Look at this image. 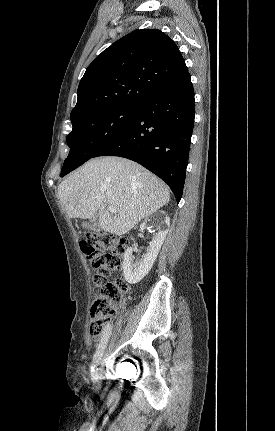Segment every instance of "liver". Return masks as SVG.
<instances>
[{
    "instance_id": "6515ba94",
    "label": "liver",
    "mask_w": 275,
    "mask_h": 431,
    "mask_svg": "<svg viewBox=\"0 0 275 431\" xmlns=\"http://www.w3.org/2000/svg\"><path fill=\"white\" fill-rule=\"evenodd\" d=\"M58 196L70 218L88 219L98 211L99 227L122 236L166 205L169 189L141 165L121 157L91 159L62 181ZM107 206H114L110 213Z\"/></svg>"
}]
</instances>
